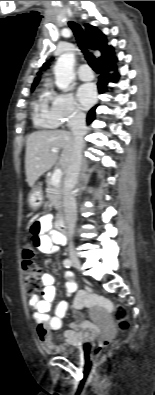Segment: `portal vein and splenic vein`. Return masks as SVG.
<instances>
[{"mask_svg":"<svg viewBox=\"0 0 155 395\" xmlns=\"http://www.w3.org/2000/svg\"><path fill=\"white\" fill-rule=\"evenodd\" d=\"M52 153H57L58 149L56 148H52L51 149ZM61 177H62V170L61 169H56L51 177V182L54 186L58 185L61 181Z\"/></svg>","mask_w":155,"mask_h":395,"instance_id":"obj_1","label":"portal vein and splenic vein"}]
</instances>
